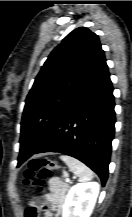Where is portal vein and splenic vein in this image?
I'll return each mask as SVG.
<instances>
[{
	"label": "portal vein and splenic vein",
	"mask_w": 132,
	"mask_h": 217,
	"mask_svg": "<svg viewBox=\"0 0 132 217\" xmlns=\"http://www.w3.org/2000/svg\"><path fill=\"white\" fill-rule=\"evenodd\" d=\"M65 181L70 182V179L68 178V174H65Z\"/></svg>",
	"instance_id": "18ae733b"
}]
</instances>
